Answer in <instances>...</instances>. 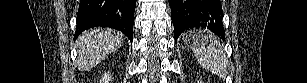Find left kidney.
I'll use <instances>...</instances> for the list:
<instances>
[{"label": "left kidney", "instance_id": "left-kidney-1", "mask_svg": "<svg viewBox=\"0 0 307 83\" xmlns=\"http://www.w3.org/2000/svg\"><path fill=\"white\" fill-rule=\"evenodd\" d=\"M197 83H203V81H201V80H200V82H199V81H197Z\"/></svg>", "mask_w": 307, "mask_h": 83}]
</instances>
